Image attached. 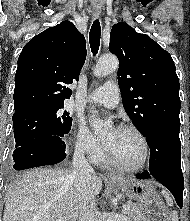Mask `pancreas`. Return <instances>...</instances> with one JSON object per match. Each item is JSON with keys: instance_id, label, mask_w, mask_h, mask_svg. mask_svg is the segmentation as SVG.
<instances>
[{"instance_id": "cf45deb5", "label": "pancreas", "mask_w": 190, "mask_h": 221, "mask_svg": "<svg viewBox=\"0 0 190 221\" xmlns=\"http://www.w3.org/2000/svg\"><path fill=\"white\" fill-rule=\"evenodd\" d=\"M130 206V210H127L125 213L130 217L133 221H147L144 214L139 211L138 207L134 203H128Z\"/></svg>"}]
</instances>
